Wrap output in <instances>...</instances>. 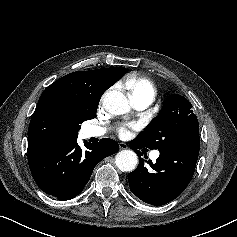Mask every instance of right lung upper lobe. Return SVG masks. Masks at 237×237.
<instances>
[{
  "label": "right lung upper lobe",
  "mask_w": 237,
  "mask_h": 237,
  "mask_svg": "<svg viewBox=\"0 0 237 237\" xmlns=\"http://www.w3.org/2000/svg\"><path fill=\"white\" fill-rule=\"evenodd\" d=\"M97 70L70 73L44 90L30 121L28 148L48 140L78 136L77 110L98 105L105 90L126 71L123 67L99 69L111 77L110 84L105 85Z\"/></svg>",
  "instance_id": "cb5924a9"
}]
</instances>
